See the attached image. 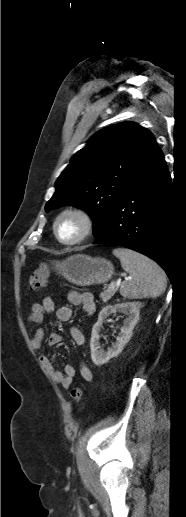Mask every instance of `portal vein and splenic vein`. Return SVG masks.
<instances>
[{"instance_id": "obj_1", "label": "portal vein and splenic vein", "mask_w": 186, "mask_h": 517, "mask_svg": "<svg viewBox=\"0 0 186 517\" xmlns=\"http://www.w3.org/2000/svg\"><path fill=\"white\" fill-rule=\"evenodd\" d=\"M121 281V279H119L117 282L116 281H112L110 284H109V287H108V290H114L116 285H118V283Z\"/></svg>"}]
</instances>
